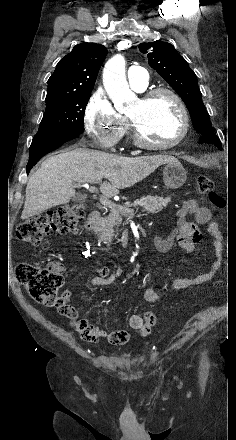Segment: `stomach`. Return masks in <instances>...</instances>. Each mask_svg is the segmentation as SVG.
<instances>
[{
    "label": "stomach",
    "instance_id": "0dacf381",
    "mask_svg": "<svg viewBox=\"0 0 236 440\" xmlns=\"http://www.w3.org/2000/svg\"><path fill=\"white\" fill-rule=\"evenodd\" d=\"M186 179V170L177 159L165 163L163 169V181L166 187L171 189L180 188L185 183Z\"/></svg>",
    "mask_w": 236,
    "mask_h": 440
}]
</instances>
